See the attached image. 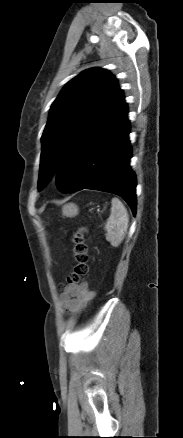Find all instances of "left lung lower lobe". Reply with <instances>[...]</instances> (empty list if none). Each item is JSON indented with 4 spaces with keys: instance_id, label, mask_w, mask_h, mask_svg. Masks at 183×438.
<instances>
[{
    "instance_id": "obj_1",
    "label": "left lung lower lobe",
    "mask_w": 183,
    "mask_h": 438,
    "mask_svg": "<svg viewBox=\"0 0 183 438\" xmlns=\"http://www.w3.org/2000/svg\"><path fill=\"white\" fill-rule=\"evenodd\" d=\"M127 113L125 103L64 159L56 173L60 191L95 189L114 193L136 213V177L129 165Z\"/></svg>"
}]
</instances>
